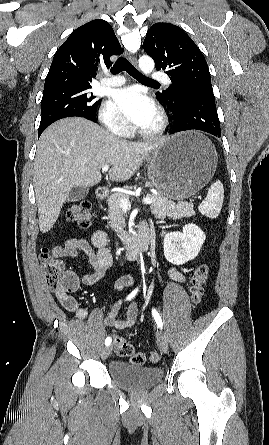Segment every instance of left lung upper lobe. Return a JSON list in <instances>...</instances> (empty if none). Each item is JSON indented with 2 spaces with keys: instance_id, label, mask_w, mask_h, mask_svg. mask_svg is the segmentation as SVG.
Here are the masks:
<instances>
[{
  "instance_id": "obj_1",
  "label": "left lung upper lobe",
  "mask_w": 269,
  "mask_h": 445,
  "mask_svg": "<svg viewBox=\"0 0 269 445\" xmlns=\"http://www.w3.org/2000/svg\"><path fill=\"white\" fill-rule=\"evenodd\" d=\"M143 49L157 70H166L171 86L156 95L170 108L180 95L194 90L213 91L207 62L194 41L178 26L155 23L146 34Z\"/></svg>"
}]
</instances>
